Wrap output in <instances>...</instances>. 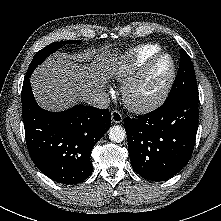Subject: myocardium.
Returning <instances> with one entry per match:
<instances>
[{"instance_id":"1","label":"myocardium","mask_w":221,"mask_h":221,"mask_svg":"<svg viewBox=\"0 0 221 221\" xmlns=\"http://www.w3.org/2000/svg\"><path fill=\"white\" fill-rule=\"evenodd\" d=\"M168 57L171 61V71L167 81L164 83L159 92L153 97L146 100H136L133 92L137 85L146 77L153 65L161 58ZM177 76V64L173 56L167 52H158L153 55L140 69L136 72L123 86L122 99L125 105L138 113L150 112L158 108L168 97Z\"/></svg>"}]
</instances>
